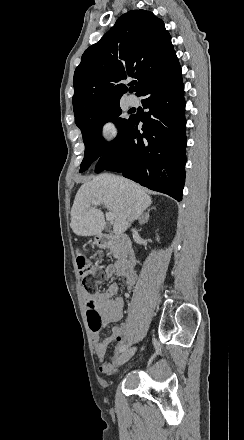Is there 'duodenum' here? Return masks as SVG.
Masks as SVG:
<instances>
[{"label":"duodenum","mask_w":244,"mask_h":440,"mask_svg":"<svg viewBox=\"0 0 244 440\" xmlns=\"http://www.w3.org/2000/svg\"><path fill=\"white\" fill-rule=\"evenodd\" d=\"M95 242L103 249L115 247L120 256V262L129 269L137 264L136 253L132 248L131 241L124 235H111L108 233L98 234Z\"/></svg>","instance_id":"duodenum-1"}]
</instances>
